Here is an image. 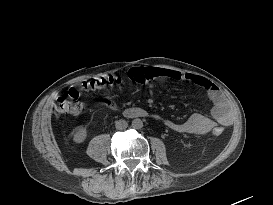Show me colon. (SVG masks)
I'll use <instances>...</instances> for the list:
<instances>
[{"label": "colon", "mask_w": 273, "mask_h": 205, "mask_svg": "<svg viewBox=\"0 0 273 205\" xmlns=\"http://www.w3.org/2000/svg\"><path fill=\"white\" fill-rule=\"evenodd\" d=\"M150 78L149 70L147 68H133L128 72V79L137 82L144 83ZM122 82V78L118 76L102 77L98 79H93L84 85L87 90H96L105 87H115ZM79 90L77 88L73 89L71 93L59 97L55 101V108L64 114H78L83 110V104L78 99ZM215 136H220L222 134L221 128H215L213 130Z\"/></svg>", "instance_id": "obj_1"}]
</instances>
